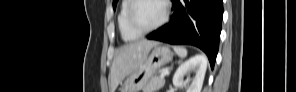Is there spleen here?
Returning a JSON list of instances; mask_svg holds the SVG:
<instances>
[{
  "instance_id": "obj_1",
  "label": "spleen",
  "mask_w": 296,
  "mask_h": 92,
  "mask_svg": "<svg viewBox=\"0 0 296 92\" xmlns=\"http://www.w3.org/2000/svg\"><path fill=\"white\" fill-rule=\"evenodd\" d=\"M173 49L179 57L184 58L187 56L186 48L180 47V46H174Z\"/></svg>"
}]
</instances>
